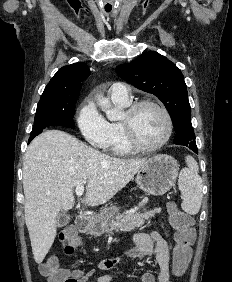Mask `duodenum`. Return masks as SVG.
<instances>
[{
    "mask_svg": "<svg viewBox=\"0 0 232 282\" xmlns=\"http://www.w3.org/2000/svg\"><path fill=\"white\" fill-rule=\"evenodd\" d=\"M76 227L80 232H87L90 228V221L86 216H78L75 221Z\"/></svg>",
    "mask_w": 232,
    "mask_h": 282,
    "instance_id": "1",
    "label": "duodenum"
}]
</instances>
